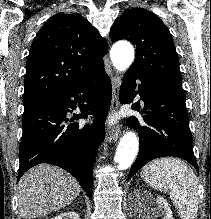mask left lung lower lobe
Listing matches in <instances>:
<instances>
[{"mask_svg":"<svg viewBox=\"0 0 211 219\" xmlns=\"http://www.w3.org/2000/svg\"><path fill=\"white\" fill-rule=\"evenodd\" d=\"M140 80L138 91L136 80ZM136 94L144 102L132 105V109L144 113L143 117H129L126 124L137 129L140 139L139 153L128 179L149 161L175 156L188 161L198 172L193 153V138L189 128L188 113L182 80L157 76H143L127 70L120 88L121 104L133 102Z\"/></svg>","mask_w":211,"mask_h":219,"instance_id":"left-lung-lower-lobe-1","label":"left lung lower lobe"}]
</instances>
